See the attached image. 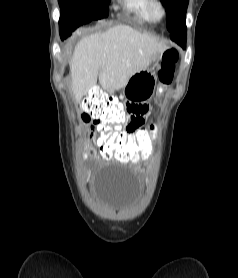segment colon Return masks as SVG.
<instances>
[{"mask_svg": "<svg viewBox=\"0 0 238 278\" xmlns=\"http://www.w3.org/2000/svg\"><path fill=\"white\" fill-rule=\"evenodd\" d=\"M178 51L168 49L158 72L161 83L172 82ZM131 105H124L116 97L106 94L100 89H92L81 102V118L84 122L96 125L93 136L97 140L98 159H116L117 162H147L152 148H147L150 142H155V130H135L134 137L128 136V131L121 127L128 121ZM149 129H156V124H149Z\"/></svg>", "mask_w": 238, "mask_h": 278, "instance_id": "5ec220e1", "label": "colon"}]
</instances>
